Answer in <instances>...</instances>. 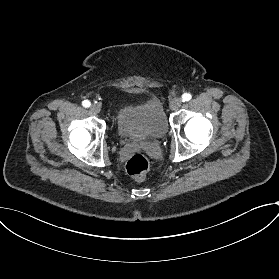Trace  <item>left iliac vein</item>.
Wrapping results in <instances>:
<instances>
[{
	"instance_id": "left-iliac-vein-1",
	"label": "left iliac vein",
	"mask_w": 279,
	"mask_h": 279,
	"mask_svg": "<svg viewBox=\"0 0 279 279\" xmlns=\"http://www.w3.org/2000/svg\"><path fill=\"white\" fill-rule=\"evenodd\" d=\"M181 99L180 98H173L169 103V108L173 111L178 110L181 106Z\"/></svg>"
}]
</instances>
